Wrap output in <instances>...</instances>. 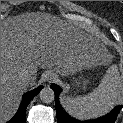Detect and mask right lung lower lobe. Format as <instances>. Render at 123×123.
<instances>
[{
  "label": "right lung lower lobe",
  "mask_w": 123,
  "mask_h": 123,
  "mask_svg": "<svg viewBox=\"0 0 123 123\" xmlns=\"http://www.w3.org/2000/svg\"><path fill=\"white\" fill-rule=\"evenodd\" d=\"M43 89V86H39L36 89L29 91L23 95L22 102L20 108L16 115L11 119L8 123H26L25 121V113L26 107L30 103V101Z\"/></svg>",
  "instance_id": "1"
}]
</instances>
